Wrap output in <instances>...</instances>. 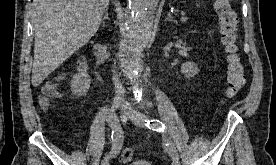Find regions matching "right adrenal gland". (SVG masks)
I'll list each match as a JSON object with an SVG mask.
<instances>
[{"instance_id": "1", "label": "right adrenal gland", "mask_w": 276, "mask_h": 165, "mask_svg": "<svg viewBox=\"0 0 276 165\" xmlns=\"http://www.w3.org/2000/svg\"><path fill=\"white\" fill-rule=\"evenodd\" d=\"M105 20H110L109 15H108V7L105 8L104 11V17L102 18L101 22L103 23V25L105 24Z\"/></svg>"}]
</instances>
